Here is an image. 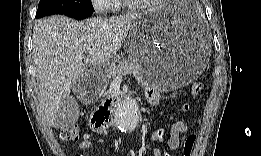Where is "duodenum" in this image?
<instances>
[{
	"instance_id": "obj_1",
	"label": "duodenum",
	"mask_w": 261,
	"mask_h": 156,
	"mask_svg": "<svg viewBox=\"0 0 261 156\" xmlns=\"http://www.w3.org/2000/svg\"><path fill=\"white\" fill-rule=\"evenodd\" d=\"M106 102L111 103V99L110 98L106 99Z\"/></svg>"
}]
</instances>
